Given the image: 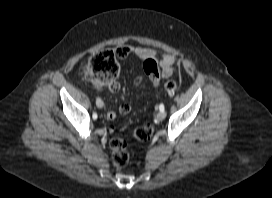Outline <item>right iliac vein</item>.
Instances as JSON below:
<instances>
[{
    "instance_id": "obj_1",
    "label": "right iliac vein",
    "mask_w": 272,
    "mask_h": 198,
    "mask_svg": "<svg viewBox=\"0 0 272 198\" xmlns=\"http://www.w3.org/2000/svg\"><path fill=\"white\" fill-rule=\"evenodd\" d=\"M97 106H98L99 108H101V107H102L101 105H99V104H98V102H97Z\"/></svg>"
}]
</instances>
